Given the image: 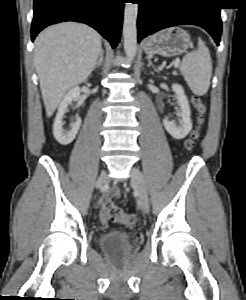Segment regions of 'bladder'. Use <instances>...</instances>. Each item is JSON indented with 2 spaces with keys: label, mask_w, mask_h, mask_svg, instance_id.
Here are the masks:
<instances>
[{
  "label": "bladder",
  "mask_w": 246,
  "mask_h": 300,
  "mask_svg": "<svg viewBox=\"0 0 246 300\" xmlns=\"http://www.w3.org/2000/svg\"><path fill=\"white\" fill-rule=\"evenodd\" d=\"M132 243V234L121 230H112L104 233L99 244L102 250L113 257L124 255Z\"/></svg>",
  "instance_id": "bladder-1"
}]
</instances>
